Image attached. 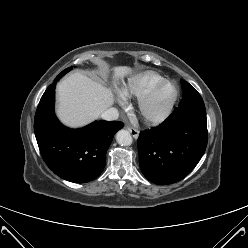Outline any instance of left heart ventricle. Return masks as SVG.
<instances>
[{
    "mask_svg": "<svg viewBox=\"0 0 248 248\" xmlns=\"http://www.w3.org/2000/svg\"><path fill=\"white\" fill-rule=\"evenodd\" d=\"M173 94L174 88L172 86H165L161 88L151 101L149 105V112L157 113L164 109L172 99Z\"/></svg>",
    "mask_w": 248,
    "mask_h": 248,
    "instance_id": "obj_1",
    "label": "left heart ventricle"
}]
</instances>
